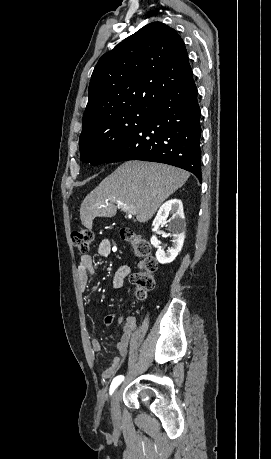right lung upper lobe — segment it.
<instances>
[{
    "mask_svg": "<svg viewBox=\"0 0 271 459\" xmlns=\"http://www.w3.org/2000/svg\"><path fill=\"white\" fill-rule=\"evenodd\" d=\"M193 78L185 44L178 33L152 22L98 61L88 90L82 124L155 102Z\"/></svg>",
    "mask_w": 271,
    "mask_h": 459,
    "instance_id": "obj_1",
    "label": "right lung upper lobe"
}]
</instances>
